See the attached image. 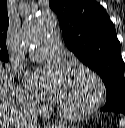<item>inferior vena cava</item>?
<instances>
[{
	"mask_svg": "<svg viewBox=\"0 0 125 128\" xmlns=\"http://www.w3.org/2000/svg\"><path fill=\"white\" fill-rule=\"evenodd\" d=\"M23 120L27 127L29 126V128L30 126L33 127L35 125L37 120L35 104H28V112L27 115L23 117Z\"/></svg>",
	"mask_w": 125,
	"mask_h": 128,
	"instance_id": "inferior-vena-cava-1",
	"label": "inferior vena cava"
}]
</instances>
